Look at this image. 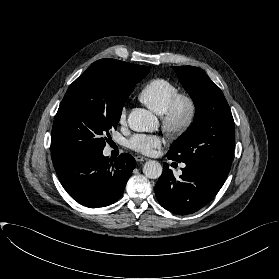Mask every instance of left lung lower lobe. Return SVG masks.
<instances>
[{"mask_svg":"<svg viewBox=\"0 0 279 279\" xmlns=\"http://www.w3.org/2000/svg\"><path fill=\"white\" fill-rule=\"evenodd\" d=\"M155 186L159 204L175 214H189L208 204L220 190L226 179L212 171L186 166L179 179L173 176L168 164Z\"/></svg>","mask_w":279,"mask_h":279,"instance_id":"0a47b994","label":"left lung lower lobe"}]
</instances>
